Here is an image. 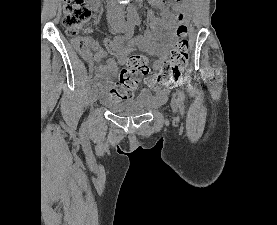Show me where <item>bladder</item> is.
Wrapping results in <instances>:
<instances>
[{
    "label": "bladder",
    "mask_w": 277,
    "mask_h": 225,
    "mask_svg": "<svg viewBox=\"0 0 277 225\" xmlns=\"http://www.w3.org/2000/svg\"><path fill=\"white\" fill-rule=\"evenodd\" d=\"M156 104L152 96L143 93L139 97L129 101L105 103V107L115 115L132 117L150 112L155 108Z\"/></svg>",
    "instance_id": "1"
}]
</instances>
